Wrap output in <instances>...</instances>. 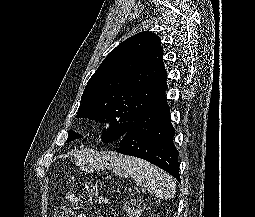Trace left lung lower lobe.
Masks as SVG:
<instances>
[{"instance_id":"0a47b994","label":"left lung lower lobe","mask_w":255,"mask_h":217,"mask_svg":"<svg viewBox=\"0 0 255 217\" xmlns=\"http://www.w3.org/2000/svg\"><path fill=\"white\" fill-rule=\"evenodd\" d=\"M166 89L131 125L116 152L144 159L180 182L178 151L173 143L174 128L171 124Z\"/></svg>"}]
</instances>
